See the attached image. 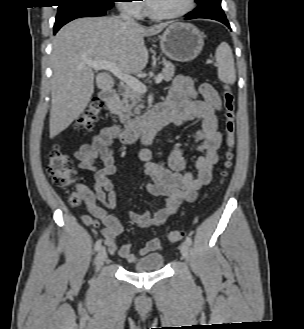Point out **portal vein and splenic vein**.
<instances>
[{
  "label": "portal vein and splenic vein",
  "instance_id": "1",
  "mask_svg": "<svg viewBox=\"0 0 304 329\" xmlns=\"http://www.w3.org/2000/svg\"><path fill=\"white\" fill-rule=\"evenodd\" d=\"M86 64L90 67H92L94 70H107L111 72L113 75L118 77L122 82H124L126 85L134 89L135 91L139 93H146L147 88L146 86L139 81L137 78L124 73L122 70L118 68V66L109 61H87ZM163 74L160 73L155 79V82L158 84L162 81Z\"/></svg>",
  "mask_w": 304,
  "mask_h": 329
}]
</instances>
